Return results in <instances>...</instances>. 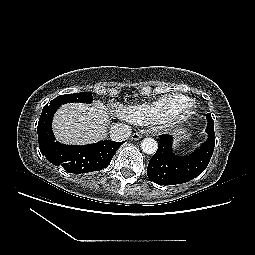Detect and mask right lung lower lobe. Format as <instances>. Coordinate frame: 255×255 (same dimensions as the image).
I'll list each match as a JSON object with an SVG mask.
<instances>
[{"label":"right lung lower lobe","instance_id":"1","mask_svg":"<svg viewBox=\"0 0 255 255\" xmlns=\"http://www.w3.org/2000/svg\"><path fill=\"white\" fill-rule=\"evenodd\" d=\"M37 130L42 155L54 165L62 166L67 172L75 174L99 171L107 167L123 144L105 140L83 146L65 145L55 141L51 124Z\"/></svg>","mask_w":255,"mask_h":255}]
</instances>
